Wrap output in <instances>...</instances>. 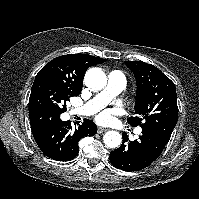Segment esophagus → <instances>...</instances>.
<instances>
[{
	"mask_svg": "<svg viewBox=\"0 0 199 199\" xmlns=\"http://www.w3.org/2000/svg\"><path fill=\"white\" fill-rule=\"evenodd\" d=\"M105 131H107V128H104V127H99L98 130H97V132H98L99 134H101V133H103V132H105Z\"/></svg>",
	"mask_w": 199,
	"mask_h": 199,
	"instance_id": "esophagus-1",
	"label": "esophagus"
}]
</instances>
